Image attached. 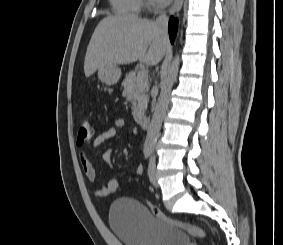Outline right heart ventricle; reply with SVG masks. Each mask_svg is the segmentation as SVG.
Wrapping results in <instances>:
<instances>
[{"label":"right heart ventricle","instance_id":"right-heart-ventricle-1","mask_svg":"<svg viewBox=\"0 0 283 245\" xmlns=\"http://www.w3.org/2000/svg\"><path fill=\"white\" fill-rule=\"evenodd\" d=\"M113 9L119 14L137 15L143 5V0H110Z\"/></svg>","mask_w":283,"mask_h":245}]
</instances>
